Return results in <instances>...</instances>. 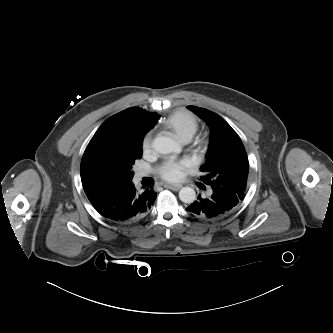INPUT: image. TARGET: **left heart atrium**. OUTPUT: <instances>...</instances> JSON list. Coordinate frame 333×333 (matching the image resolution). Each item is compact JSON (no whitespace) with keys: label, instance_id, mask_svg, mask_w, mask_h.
<instances>
[{"label":"left heart atrium","instance_id":"obj_1","mask_svg":"<svg viewBox=\"0 0 333 333\" xmlns=\"http://www.w3.org/2000/svg\"><path fill=\"white\" fill-rule=\"evenodd\" d=\"M187 169L186 161L168 160L160 168V176L169 182L180 180Z\"/></svg>","mask_w":333,"mask_h":333}]
</instances>
